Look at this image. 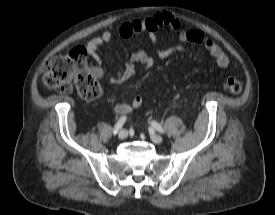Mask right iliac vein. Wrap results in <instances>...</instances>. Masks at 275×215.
I'll return each mask as SVG.
<instances>
[{
  "instance_id": "63e3f726",
  "label": "right iliac vein",
  "mask_w": 275,
  "mask_h": 215,
  "mask_svg": "<svg viewBox=\"0 0 275 215\" xmlns=\"http://www.w3.org/2000/svg\"><path fill=\"white\" fill-rule=\"evenodd\" d=\"M127 136H128V131L125 130V129L121 130L118 134V138L121 139V140L125 139Z\"/></svg>"
}]
</instances>
